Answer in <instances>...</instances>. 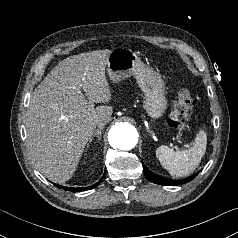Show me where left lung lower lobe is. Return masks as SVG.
<instances>
[{"label":"left lung lower lobe","instance_id":"obj_1","mask_svg":"<svg viewBox=\"0 0 238 238\" xmlns=\"http://www.w3.org/2000/svg\"><path fill=\"white\" fill-rule=\"evenodd\" d=\"M143 169H144V174L149 181L156 183V184L168 185V186H176V185L185 184V183L191 181L192 179H194L195 176L197 175L196 174L193 177H190V178L182 180V181H171V180H166L164 178H161L159 176H155V175L151 174L149 171H147V169L144 167V165H143Z\"/></svg>","mask_w":238,"mask_h":238}]
</instances>
